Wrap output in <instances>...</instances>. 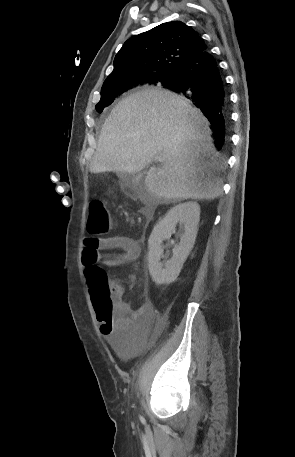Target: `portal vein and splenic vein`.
<instances>
[{"instance_id": "18ae733b", "label": "portal vein and splenic vein", "mask_w": 295, "mask_h": 457, "mask_svg": "<svg viewBox=\"0 0 295 457\" xmlns=\"http://www.w3.org/2000/svg\"><path fill=\"white\" fill-rule=\"evenodd\" d=\"M156 159H157L159 162H162V161H163L162 156H158Z\"/></svg>"}]
</instances>
